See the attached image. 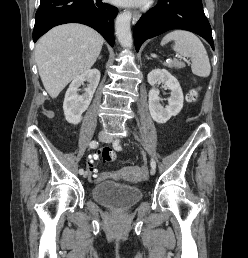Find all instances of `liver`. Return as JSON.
<instances>
[{
  "instance_id": "obj_1",
  "label": "liver",
  "mask_w": 248,
  "mask_h": 258,
  "mask_svg": "<svg viewBox=\"0 0 248 258\" xmlns=\"http://www.w3.org/2000/svg\"><path fill=\"white\" fill-rule=\"evenodd\" d=\"M104 43L94 29L76 23L57 26L35 46V60L44 88L56 98L68 83L89 70Z\"/></svg>"
}]
</instances>
